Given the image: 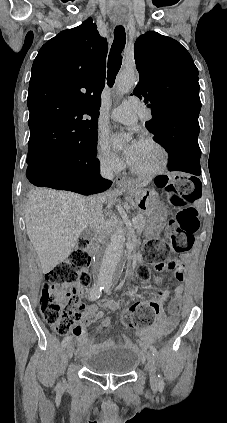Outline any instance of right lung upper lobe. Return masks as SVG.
<instances>
[{
    "instance_id": "obj_1",
    "label": "right lung upper lobe",
    "mask_w": 227,
    "mask_h": 423,
    "mask_svg": "<svg viewBox=\"0 0 227 423\" xmlns=\"http://www.w3.org/2000/svg\"><path fill=\"white\" fill-rule=\"evenodd\" d=\"M107 51L92 19L41 47L27 99L28 155L61 149L97 132Z\"/></svg>"
}]
</instances>
